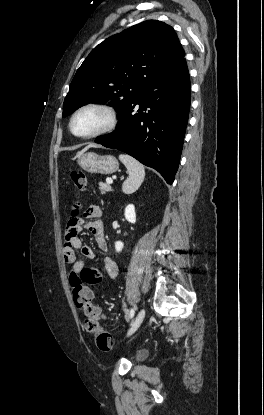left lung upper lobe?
Returning a JSON list of instances; mask_svg holds the SVG:
<instances>
[{"label": "left lung upper lobe", "mask_w": 264, "mask_h": 415, "mask_svg": "<svg viewBox=\"0 0 264 415\" xmlns=\"http://www.w3.org/2000/svg\"><path fill=\"white\" fill-rule=\"evenodd\" d=\"M185 56L174 29L147 20L115 34L91 51L65 97L63 117L91 101L108 102L119 114L149 83Z\"/></svg>", "instance_id": "5c2ea615"}]
</instances>
